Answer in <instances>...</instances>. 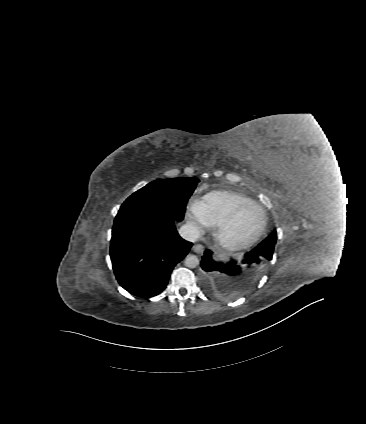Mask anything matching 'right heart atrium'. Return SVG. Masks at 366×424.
Here are the masks:
<instances>
[{
	"mask_svg": "<svg viewBox=\"0 0 366 424\" xmlns=\"http://www.w3.org/2000/svg\"><path fill=\"white\" fill-rule=\"evenodd\" d=\"M201 210V201L194 200L190 204L187 212V221L196 232H202L207 227V223L201 214Z\"/></svg>",
	"mask_w": 366,
	"mask_h": 424,
	"instance_id": "obj_1",
	"label": "right heart atrium"
}]
</instances>
